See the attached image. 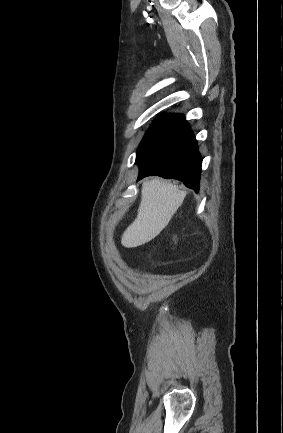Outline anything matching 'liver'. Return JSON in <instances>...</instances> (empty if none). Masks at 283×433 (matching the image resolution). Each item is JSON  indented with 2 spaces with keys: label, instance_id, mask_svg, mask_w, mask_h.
Listing matches in <instances>:
<instances>
[{
  "label": "liver",
  "instance_id": "6515ba94",
  "mask_svg": "<svg viewBox=\"0 0 283 433\" xmlns=\"http://www.w3.org/2000/svg\"><path fill=\"white\" fill-rule=\"evenodd\" d=\"M141 194L137 219L122 235L121 243L127 249L140 247L155 239L167 227L187 192L179 190L177 184L152 178L143 182Z\"/></svg>",
  "mask_w": 283,
  "mask_h": 433
}]
</instances>
